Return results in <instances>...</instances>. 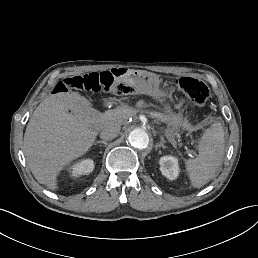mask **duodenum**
<instances>
[{"instance_id": "duodenum-1", "label": "duodenum", "mask_w": 258, "mask_h": 258, "mask_svg": "<svg viewBox=\"0 0 258 258\" xmlns=\"http://www.w3.org/2000/svg\"><path fill=\"white\" fill-rule=\"evenodd\" d=\"M108 75L114 81L127 82L136 77V72L129 67L116 66L108 71Z\"/></svg>"}]
</instances>
